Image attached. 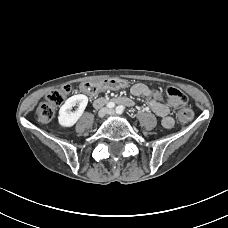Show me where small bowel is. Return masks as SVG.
<instances>
[{
	"label": "small bowel",
	"mask_w": 228,
	"mask_h": 228,
	"mask_svg": "<svg viewBox=\"0 0 228 228\" xmlns=\"http://www.w3.org/2000/svg\"><path fill=\"white\" fill-rule=\"evenodd\" d=\"M126 86L127 84L124 81L111 79L97 84H83L81 90L84 93L93 94L102 90L120 89ZM130 91L133 96H142L147 99L151 109L160 118L161 125L164 128L170 129L174 126V119L170 115V105L161 99L160 93L157 90L146 84L137 83L131 87Z\"/></svg>",
	"instance_id": "obj_1"
}]
</instances>
